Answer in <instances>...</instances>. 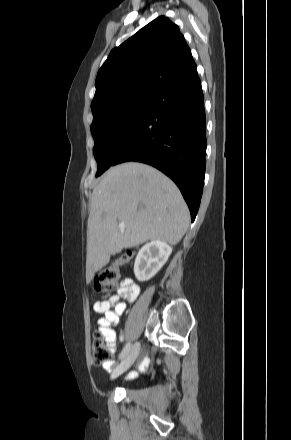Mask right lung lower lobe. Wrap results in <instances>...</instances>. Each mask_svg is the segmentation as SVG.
<instances>
[{"label":"right lung lower lobe","instance_id":"98d812e1","mask_svg":"<svg viewBox=\"0 0 291 440\" xmlns=\"http://www.w3.org/2000/svg\"><path fill=\"white\" fill-rule=\"evenodd\" d=\"M206 147L204 96L195 69L154 97L144 121L112 166L137 161L165 173L181 190L194 221L204 185Z\"/></svg>","mask_w":291,"mask_h":440}]
</instances>
